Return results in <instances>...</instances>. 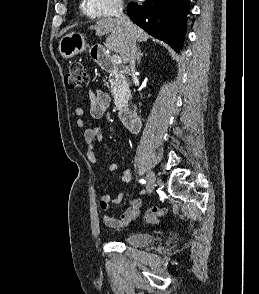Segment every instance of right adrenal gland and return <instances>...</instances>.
Returning <instances> with one entry per match:
<instances>
[{
	"label": "right adrenal gland",
	"instance_id": "obj_1",
	"mask_svg": "<svg viewBox=\"0 0 259 294\" xmlns=\"http://www.w3.org/2000/svg\"><path fill=\"white\" fill-rule=\"evenodd\" d=\"M142 57H143V53L141 52L140 48L138 47L137 48V53H136V61H137L138 64L140 63V60H141Z\"/></svg>",
	"mask_w": 259,
	"mask_h": 294
}]
</instances>
